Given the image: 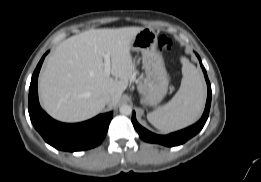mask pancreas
<instances>
[{"label": "pancreas", "mask_w": 261, "mask_h": 182, "mask_svg": "<svg viewBox=\"0 0 261 182\" xmlns=\"http://www.w3.org/2000/svg\"><path fill=\"white\" fill-rule=\"evenodd\" d=\"M137 85H138V89L141 91L144 87V83L142 81H138L137 82Z\"/></svg>", "instance_id": "1"}]
</instances>
